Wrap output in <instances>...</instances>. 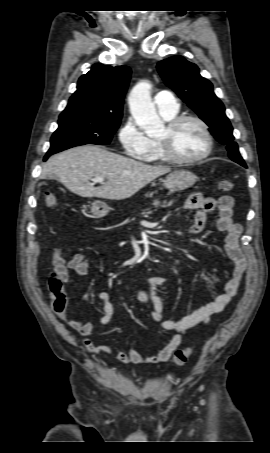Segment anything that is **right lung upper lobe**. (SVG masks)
Masks as SVG:
<instances>
[{
  "instance_id": "obj_1",
  "label": "right lung upper lobe",
  "mask_w": 270,
  "mask_h": 453,
  "mask_svg": "<svg viewBox=\"0 0 270 453\" xmlns=\"http://www.w3.org/2000/svg\"><path fill=\"white\" fill-rule=\"evenodd\" d=\"M131 69L95 64L79 78L77 90L70 97L61 116L96 113L114 118L122 117L123 97L127 91Z\"/></svg>"
}]
</instances>
